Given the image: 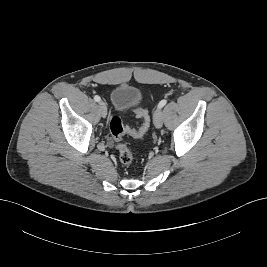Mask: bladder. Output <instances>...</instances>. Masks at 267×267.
I'll return each mask as SVG.
<instances>
[{
  "mask_svg": "<svg viewBox=\"0 0 267 267\" xmlns=\"http://www.w3.org/2000/svg\"><path fill=\"white\" fill-rule=\"evenodd\" d=\"M110 101L116 111L124 112L141 103L142 93L134 86L121 84L111 91Z\"/></svg>",
  "mask_w": 267,
  "mask_h": 267,
  "instance_id": "obj_1",
  "label": "bladder"
}]
</instances>
